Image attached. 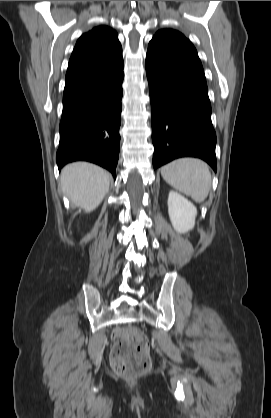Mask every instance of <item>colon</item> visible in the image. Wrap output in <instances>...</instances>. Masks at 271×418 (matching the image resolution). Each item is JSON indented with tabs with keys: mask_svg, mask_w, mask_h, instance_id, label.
I'll return each instance as SVG.
<instances>
[{
	"mask_svg": "<svg viewBox=\"0 0 271 418\" xmlns=\"http://www.w3.org/2000/svg\"><path fill=\"white\" fill-rule=\"evenodd\" d=\"M114 345L110 362L113 371L122 377H136L151 366L148 340L136 328L119 329L113 333Z\"/></svg>",
	"mask_w": 271,
	"mask_h": 418,
	"instance_id": "colon-1",
	"label": "colon"
}]
</instances>
